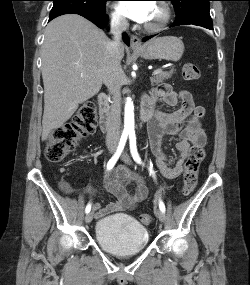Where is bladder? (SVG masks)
Instances as JSON below:
<instances>
[{
    "instance_id": "bladder-1",
    "label": "bladder",
    "mask_w": 250,
    "mask_h": 285,
    "mask_svg": "<svg viewBox=\"0 0 250 285\" xmlns=\"http://www.w3.org/2000/svg\"><path fill=\"white\" fill-rule=\"evenodd\" d=\"M95 238L106 252L127 256L137 254L146 248L149 233L134 218L116 215L104 218L96 224Z\"/></svg>"
}]
</instances>
